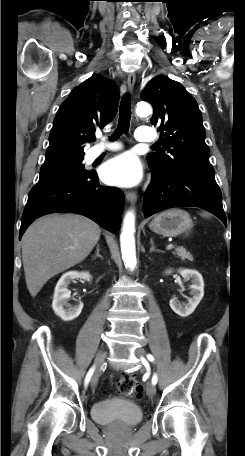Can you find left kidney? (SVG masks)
<instances>
[{"instance_id": "left-kidney-1", "label": "left kidney", "mask_w": 245, "mask_h": 456, "mask_svg": "<svg viewBox=\"0 0 245 456\" xmlns=\"http://www.w3.org/2000/svg\"><path fill=\"white\" fill-rule=\"evenodd\" d=\"M178 272L185 280H191L190 293L192 298L188 299V303L183 304L177 302L176 299H171L169 304L176 314L181 317H187L193 313L204 296V281L202 275L195 270L180 269ZM166 273H171V271Z\"/></svg>"}]
</instances>
